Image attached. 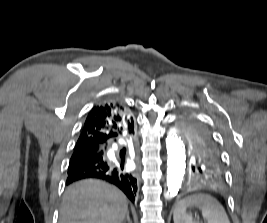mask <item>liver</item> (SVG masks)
Instances as JSON below:
<instances>
[{
    "mask_svg": "<svg viewBox=\"0 0 267 223\" xmlns=\"http://www.w3.org/2000/svg\"><path fill=\"white\" fill-rule=\"evenodd\" d=\"M127 212V198L119 189L84 180L66 189L59 223H122Z\"/></svg>",
    "mask_w": 267,
    "mask_h": 223,
    "instance_id": "6515ba94",
    "label": "liver"
}]
</instances>
